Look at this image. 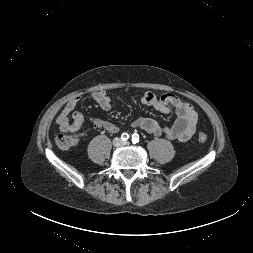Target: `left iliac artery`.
Instances as JSON below:
<instances>
[{"label":"left iliac artery","mask_w":253,"mask_h":253,"mask_svg":"<svg viewBox=\"0 0 253 253\" xmlns=\"http://www.w3.org/2000/svg\"><path fill=\"white\" fill-rule=\"evenodd\" d=\"M131 140H132L133 144H136L137 142H139V135L137 133H134L132 135V139Z\"/></svg>","instance_id":"44dca946"}]
</instances>
